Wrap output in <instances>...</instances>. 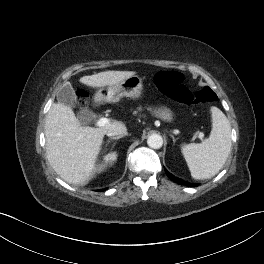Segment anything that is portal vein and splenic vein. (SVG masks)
<instances>
[{"label":"portal vein and splenic vein","mask_w":264,"mask_h":264,"mask_svg":"<svg viewBox=\"0 0 264 264\" xmlns=\"http://www.w3.org/2000/svg\"><path fill=\"white\" fill-rule=\"evenodd\" d=\"M110 122H109V119L108 118H100L99 120H97L96 122V126L98 127H104L106 125H108ZM200 138H203V134L201 133L199 135Z\"/></svg>","instance_id":"portal-vein-and-splenic-vein-1"}]
</instances>
